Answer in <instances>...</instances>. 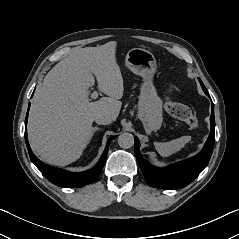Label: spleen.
Returning a JSON list of instances; mask_svg holds the SVG:
<instances>
[{
	"label": "spleen",
	"mask_w": 239,
	"mask_h": 239,
	"mask_svg": "<svg viewBox=\"0 0 239 239\" xmlns=\"http://www.w3.org/2000/svg\"><path fill=\"white\" fill-rule=\"evenodd\" d=\"M190 141V136H182L169 142H155V147L162 157H168L180 151Z\"/></svg>",
	"instance_id": "1"
}]
</instances>
